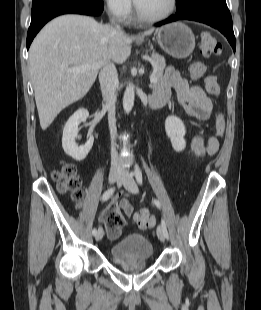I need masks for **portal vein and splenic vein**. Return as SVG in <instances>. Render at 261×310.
Wrapping results in <instances>:
<instances>
[{"label": "portal vein and splenic vein", "mask_w": 261, "mask_h": 310, "mask_svg": "<svg viewBox=\"0 0 261 310\" xmlns=\"http://www.w3.org/2000/svg\"><path fill=\"white\" fill-rule=\"evenodd\" d=\"M101 66V64L99 63H95V64H87V65H82V66H77V67H73V68H69L67 69L68 72L70 73H80L86 70H91V69H96L99 68ZM150 83L151 84H155L157 83V78L155 76H151L150 77Z\"/></svg>", "instance_id": "obj_1"}]
</instances>
